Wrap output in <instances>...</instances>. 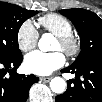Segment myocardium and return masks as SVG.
I'll use <instances>...</instances> for the list:
<instances>
[{
    "mask_svg": "<svg viewBox=\"0 0 102 102\" xmlns=\"http://www.w3.org/2000/svg\"><path fill=\"white\" fill-rule=\"evenodd\" d=\"M57 41L60 45V50L68 57H76L81 50V40L75 33H69L63 36H58Z\"/></svg>",
    "mask_w": 102,
    "mask_h": 102,
    "instance_id": "1",
    "label": "myocardium"
}]
</instances>
